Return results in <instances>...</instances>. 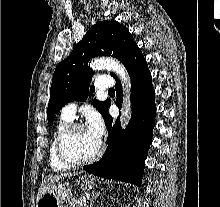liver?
Instances as JSON below:
<instances>
[{
  "label": "liver",
  "instance_id": "liver-1",
  "mask_svg": "<svg viewBox=\"0 0 220 207\" xmlns=\"http://www.w3.org/2000/svg\"><path fill=\"white\" fill-rule=\"evenodd\" d=\"M78 172H74V173H60V174H51L49 176H47L44 181L42 182L39 190H38V194H37V201L41 198V196L43 194H45L53 184H55L56 182H58L61 179L64 178H68L71 176H75L78 175Z\"/></svg>",
  "mask_w": 220,
  "mask_h": 207
}]
</instances>
